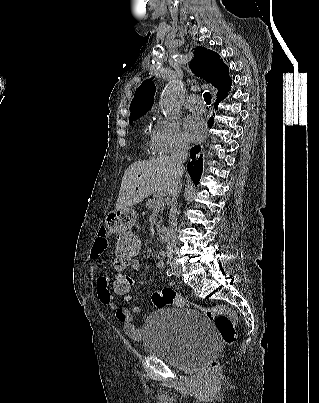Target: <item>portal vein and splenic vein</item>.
<instances>
[{
    "instance_id": "obj_1",
    "label": "portal vein and splenic vein",
    "mask_w": 319,
    "mask_h": 403,
    "mask_svg": "<svg viewBox=\"0 0 319 403\" xmlns=\"http://www.w3.org/2000/svg\"><path fill=\"white\" fill-rule=\"evenodd\" d=\"M162 202H163V199H160L157 204H158V205H161Z\"/></svg>"
}]
</instances>
